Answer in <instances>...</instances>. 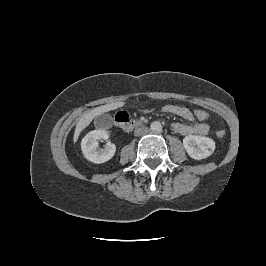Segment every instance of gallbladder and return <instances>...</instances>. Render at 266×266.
<instances>
[{"instance_id": "obj_1", "label": "gallbladder", "mask_w": 266, "mask_h": 266, "mask_svg": "<svg viewBox=\"0 0 266 266\" xmlns=\"http://www.w3.org/2000/svg\"><path fill=\"white\" fill-rule=\"evenodd\" d=\"M113 123V118L109 114H103L95 118L97 126H110Z\"/></svg>"}]
</instances>
